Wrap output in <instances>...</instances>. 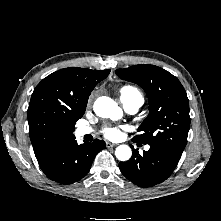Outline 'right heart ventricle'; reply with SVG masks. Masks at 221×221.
<instances>
[{
	"label": "right heart ventricle",
	"instance_id": "obj_1",
	"mask_svg": "<svg viewBox=\"0 0 221 221\" xmlns=\"http://www.w3.org/2000/svg\"><path fill=\"white\" fill-rule=\"evenodd\" d=\"M120 96L122 101H140L141 103L144 101L142 93L131 85L121 87Z\"/></svg>",
	"mask_w": 221,
	"mask_h": 221
}]
</instances>
